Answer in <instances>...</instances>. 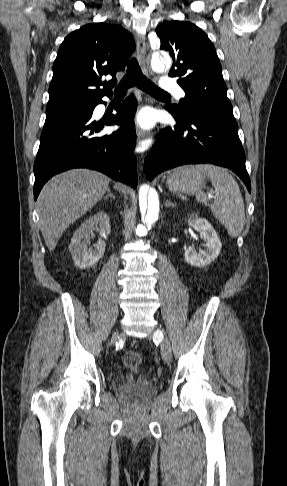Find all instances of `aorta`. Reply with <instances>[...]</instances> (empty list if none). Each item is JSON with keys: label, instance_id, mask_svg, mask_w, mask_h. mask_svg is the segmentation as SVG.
<instances>
[{"label": "aorta", "instance_id": "obj_1", "mask_svg": "<svg viewBox=\"0 0 287 486\" xmlns=\"http://www.w3.org/2000/svg\"><path fill=\"white\" fill-rule=\"evenodd\" d=\"M171 59L168 55L153 53L151 57V67L154 71H163L169 68ZM139 205L141 219L147 228H151L159 217V198L153 188H141L139 191Z\"/></svg>", "mask_w": 287, "mask_h": 486}]
</instances>
